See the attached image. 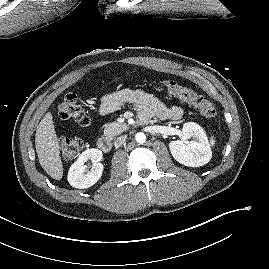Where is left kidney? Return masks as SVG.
Listing matches in <instances>:
<instances>
[{"mask_svg": "<svg viewBox=\"0 0 269 269\" xmlns=\"http://www.w3.org/2000/svg\"><path fill=\"white\" fill-rule=\"evenodd\" d=\"M193 141H188L190 138ZM182 140L171 141L169 148L174 159L188 167H199L207 164L211 157V147L203 128L194 122L183 125Z\"/></svg>", "mask_w": 269, "mask_h": 269, "instance_id": "5707ae66", "label": "left kidney"}]
</instances>
